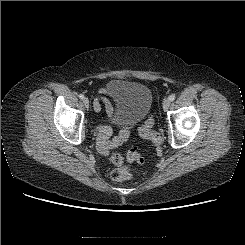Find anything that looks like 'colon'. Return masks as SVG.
I'll return each instance as SVG.
<instances>
[{
	"mask_svg": "<svg viewBox=\"0 0 245 245\" xmlns=\"http://www.w3.org/2000/svg\"><path fill=\"white\" fill-rule=\"evenodd\" d=\"M153 118L148 116L147 120L139 126V135L147 140H150L156 147V150L161 149L162 138L161 136L152 129ZM129 163H139L143 164L145 162L144 158L139 154L136 149H131L128 151L126 158L120 153H113L111 155V162L116 167L112 173L111 178L117 182L130 181L135 178L134 171L126 164Z\"/></svg>",
	"mask_w": 245,
	"mask_h": 245,
	"instance_id": "5ec220e1",
	"label": "colon"
}]
</instances>
